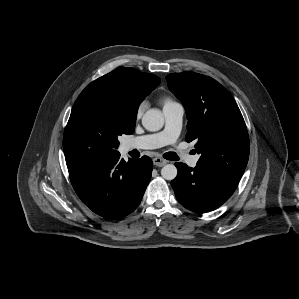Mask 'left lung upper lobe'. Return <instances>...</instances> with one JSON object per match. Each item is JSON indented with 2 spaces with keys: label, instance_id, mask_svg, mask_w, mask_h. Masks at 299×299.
Segmentation results:
<instances>
[{
  "label": "left lung upper lobe",
  "instance_id": "obj_1",
  "mask_svg": "<svg viewBox=\"0 0 299 299\" xmlns=\"http://www.w3.org/2000/svg\"><path fill=\"white\" fill-rule=\"evenodd\" d=\"M168 87L185 107V140L195 141L197 166L240 180L249 158V137L232 95L211 77L194 72L172 73Z\"/></svg>",
  "mask_w": 299,
  "mask_h": 299
}]
</instances>
